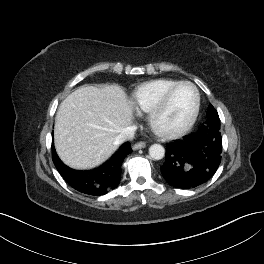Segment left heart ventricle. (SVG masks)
Instances as JSON below:
<instances>
[{
  "mask_svg": "<svg viewBox=\"0 0 264 264\" xmlns=\"http://www.w3.org/2000/svg\"><path fill=\"white\" fill-rule=\"evenodd\" d=\"M195 103L192 87L182 85L173 94L163 112L158 116L157 123L164 129H175L183 125L189 118Z\"/></svg>",
  "mask_w": 264,
  "mask_h": 264,
  "instance_id": "b2bd125f",
  "label": "left heart ventricle"
}]
</instances>
